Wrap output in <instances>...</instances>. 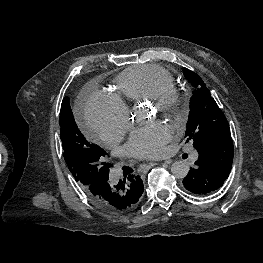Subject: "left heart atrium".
I'll use <instances>...</instances> for the list:
<instances>
[{"label": "left heart atrium", "mask_w": 263, "mask_h": 263, "mask_svg": "<svg viewBox=\"0 0 263 263\" xmlns=\"http://www.w3.org/2000/svg\"><path fill=\"white\" fill-rule=\"evenodd\" d=\"M172 131L163 123H153L134 131L125 147L126 151L140 159L160 156L171 140Z\"/></svg>", "instance_id": "left-heart-atrium-1"}]
</instances>
